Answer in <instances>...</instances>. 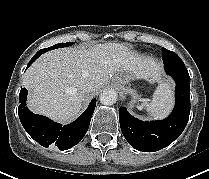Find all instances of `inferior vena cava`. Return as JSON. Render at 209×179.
I'll return each mask as SVG.
<instances>
[{
    "mask_svg": "<svg viewBox=\"0 0 209 179\" xmlns=\"http://www.w3.org/2000/svg\"><path fill=\"white\" fill-rule=\"evenodd\" d=\"M94 83L93 82H86L82 87L83 92L88 93L94 90Z\"/></svg>",
    "mask_w": 209,
    "mask_h": 179,
    "instance_id": "602c4592",
    "label": "inferior vena cava"
}]
</instances>
